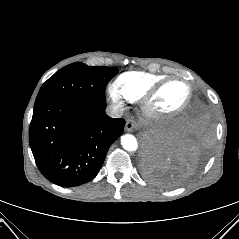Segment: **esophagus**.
Instances as JSON below:
<instances>
[{
    "mask_svg": "<svg viewBox=\"0 0 239 239\" xmlns=\"http://www.w3.org/2000/svg\"><path fill=\"white\" fill-rule=\"evenodd\" d=\"M135 127H136V124H135L134 121L129 120V121L126 122V125H125L126 131L131 132V131H133V129Z\"/></svg>",
    "mask_w": 239,
    "mask_h": 239,
    "instance_id": "34e87169",
    "label": "esophagus"
}]
</instances>
